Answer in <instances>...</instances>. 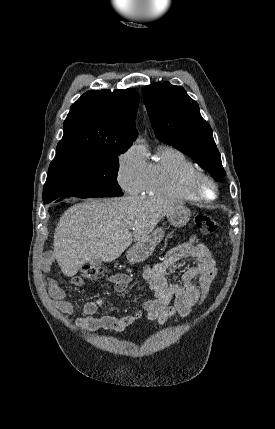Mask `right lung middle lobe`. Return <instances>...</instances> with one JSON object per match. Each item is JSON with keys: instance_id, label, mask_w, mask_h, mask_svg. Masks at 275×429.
Listing matches in <instances>:
<instances>
[{"instance_id": "dd1d6c3e", "label": "right lung middle lobe", "mask_w": 275, "mask_h": 429, "mask_svg": "<svg viewBox=\"0 0 275 429\" xmlns=\"http://www.w3.org/2000/svg\"><path fill=\"white\" fill-rule=\"evenodd\" d=\"M124 151L56 154L43 189L44 204L64 197H111L123 193L116 180Z\"/></svg>"}]
</instances>
